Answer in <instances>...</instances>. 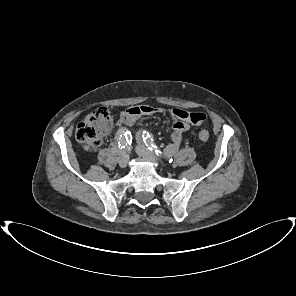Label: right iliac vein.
<instances>
[{
	"label": "right iliac vein",
	"instance_id": "1",
	"mask_svg": "<svg viewBox=\"0 0 296 296\" xmlns=\"http://www.w3.org/2000/svg\"><path fill=\"white\" fill-rule=\"evenodd\" d=\"M128 161H129V155L127 153H123L118 159L119 166L121 168H125L128 164Z\"/></svg>",
	"mask_w": 296,
	"mask_h": 296
}]
</instances>
